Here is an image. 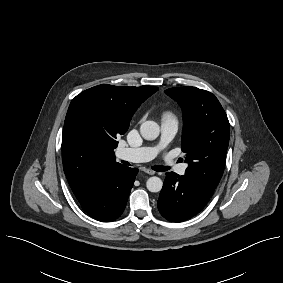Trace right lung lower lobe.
<instances>
[{"instance_id":"1","label":"right lung lower lobe","mask_w":283,"mask_h":283,"mask_svg":"<svg viewBox=\"0 0 283 283\" xmlns=\"http://www.w3.org/2000/svg\"><path fill=\"white\" fill-rule=\"evenodd\" d=\"M137 173V168L118 162L101 167L93 175L83 196L78 198L81 207L98 221L117 219L124 211Z\"/></svg>"}]
</instances>
